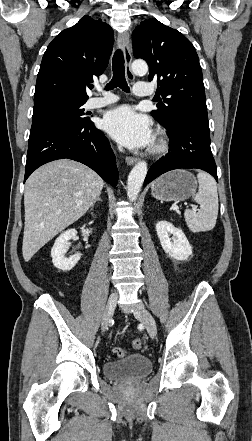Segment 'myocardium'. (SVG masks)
<instances>
[{
	"mask_svg": "<svg viewBox=\"0 0 252 441\" xmlns=\"http://www.w3.org/2000/svg\"><path fill=\"white\" fill-rule=\"evenodd\" d=\"M167 149L166 139L162 134H159L158 139L152 147V152L155 154L163 153Z\"/></svg>",
	"mask_w": 252,
	"mask_h": 441,
	"instance_id": "1",
	"label": "myocardium"
}]
</instances>
